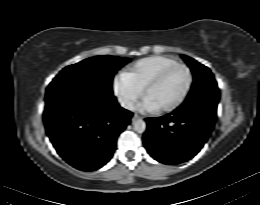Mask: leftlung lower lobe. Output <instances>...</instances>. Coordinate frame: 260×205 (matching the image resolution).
Here are the masks:
<instances>
[{
	"label": "left lung lower lobe",
	"mask_w": 260,
	"mask_h": 205,
	"mask_svg": "<svg viewBox=\"0 0 260 205\" xmlns=\"http://www.w3.org/2000/svg\"><path fill=\"white\" fill-rule=\"evenodd\" d=\"M216 114L202 108L176 109L158 118H147L144 146L157 161L174 165L194 157L207 141Z\"/></svg>",
	"instance_id": "obj_1"
}]
</instances>
